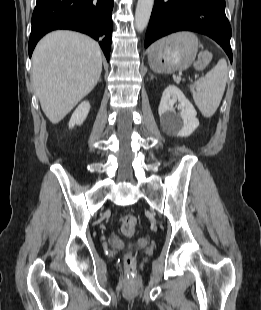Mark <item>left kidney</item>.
Returning a JSON list of instances; mask_svg holds the SVG:
<instances>
[{
	"instance_id": "left-kidney-1",
	"label": "left kidney",
	"mask_w": 261,
	"mask_h": 310,
	"mask_svg": "<svg viewBox=\"0 0 261 310\" xmlns=\"http://www.w3.org/2000/svg\"><path fill=\"white\" fill-rule=\"evenodd\" d=\"M177 102L179 114L174 108ZM158 113L163 129L180 137L190 136L199 126L195 108L175 85H169L163 91Z\"/></svg>"
}]
</instances>
